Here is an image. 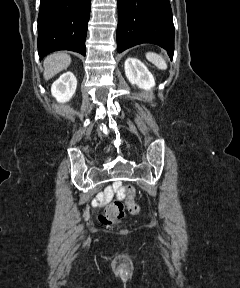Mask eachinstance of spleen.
<instances>
[{
    "instance_id": "1",
    "label": "spleen",
    "mask_w": 240,
    "mask_h": 288,
    "mask_svg": "<svg viewBox=\"0 0 240 288\" xmlns=\"http://www.w3.org/2000/svg\"><path fill=\"white\" fill-rule=\"evenodd\" d=\"M146 58L151 63H153L158 69H161V70L167 69V63L161 55L154 53V52H148L146 53Z\"/></svg>"
}]
</instances>
